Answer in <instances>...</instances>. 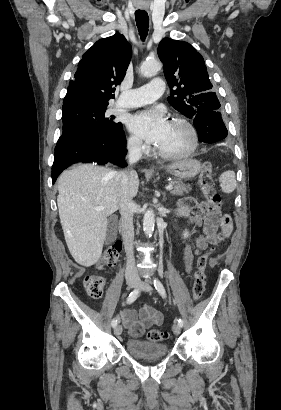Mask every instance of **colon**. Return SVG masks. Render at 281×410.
I'll use <instances>...</instances> for the list:
<instances>
[{
    "instance_id": "colon-1",
    "label": "colon",
    "mask_w": 281,
    "mask_h": 410,
    "mask_svg": "<svg viewBox=\"0 0 281 410\" xmlns=\"http://www.w3.org/2000/svg\"><path fill=\"white\" fill-rule=\"evenodd\" d=\"M213 176V166L210 163H206L200 174V184L205 196V202L196 207V213L206 214L208 212L217 213L221 211V199L214 189ZM223 219L225 224L231 222V218L228 215H225ZM222 238L223 235L220 236V239ZM121 250L122 244L120 242L108 246L102 254L101 262L109 267L115 266L118 262ZM207 259V254L201 255L197 259V268L192 287V297L195 301L200 300L205 291V269L207 266ZM104 285L105 279L100 275H87L84 279V287L88 296L92 299H99L102 297ZM147 338L151 342H161L167 338V333L159 329H150L147 331Z\"/></svg>"
}]
</instances>
